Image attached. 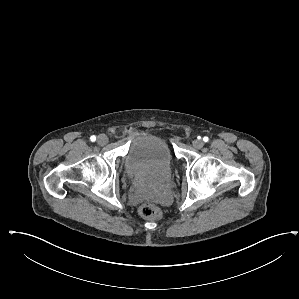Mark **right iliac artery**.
<instances>
[{
  "instance_id": "obj_1",
  "label": "right iliac artery",
  "mask_w": 299,
  "mask_h": 299,
  "mask_svg": "<svg viewBox=\"0 0 299 299\" xmlns=\"http://www.w3.org/2000/svg\"><path fill=\"white\" fill-rule=\"evenodd\" d=\"M90 140H91L92 142H95V141H96V137L93 135V136L90 137Z\"/></svg>"
}]
</instances>
